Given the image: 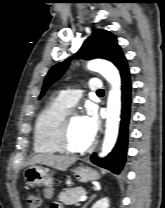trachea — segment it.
I'll list each match as a JSON object with an SVG mask.
<instances>
[{
	"instance_id": "3493384b",
	"label": "trachea",
	"mask_w": 165,
	"mask_h": 208,
	"mask_svg": "<svg viewBox=\"0 0 165 208\" xmlns=\"http://www.w3.org/2000/svg\"><path fill=\"white\" fill-rule=\"evenodd\" d=\"M103 93H104L103 90H100V91L97 92V94H103Z\"/></svg>"
}]
</instances>
